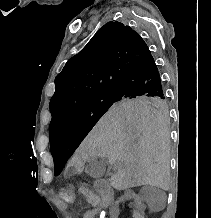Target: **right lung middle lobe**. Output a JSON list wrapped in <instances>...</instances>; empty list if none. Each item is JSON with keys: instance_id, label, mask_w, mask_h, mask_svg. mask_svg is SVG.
Segmentation results:
<instances>
[{"instance_id": "right-lung-middle-lobe-1", "label": "right lung middle lobe", "mask_w": 211, "mask_h": 218, "mask_svg": "<svg viewBox=\"0 0 211 218\" xmlns=\"http://www.w3.org/2000/svg\"><path fill=\"white\" fill-rule=\"evenodd\" d=\"M135 107L150 106L160 112L167 111V102L161 97H121L115 91L89 99L59 116L50 124L49 139L51 146L70 143L78 146L89 131L112 106ZM64 163H55V176L59 175Z\"/></svg>"}]
</instances>
